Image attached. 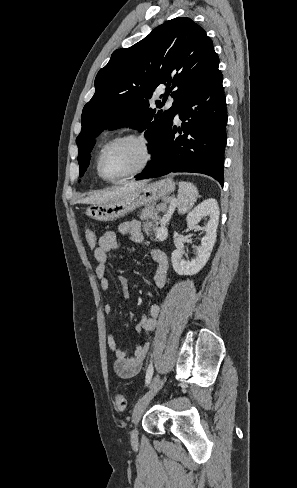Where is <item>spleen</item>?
<instances>
[{"label": "spleen", "mask_w": 297, "mask_h": 488, "mask_svg": "<svg viewBox=\"0 0 297 488\" xmlns=\"http://www.w3.org/2000/svg\"><path fill=\"white\" fill-rule=\"evenodd\" d=\"M198 197L197 188L188 182L179 183L178 191V212L183 214L186 213L196 202Z\"/></svg>", "instance_id": "1"}]
</instances>
